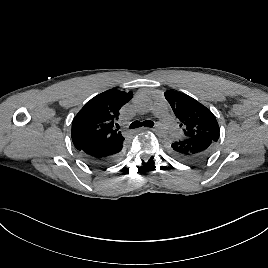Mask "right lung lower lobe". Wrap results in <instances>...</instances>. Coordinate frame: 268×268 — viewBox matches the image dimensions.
Masks as SVG:
<instances>
[{"mask_svg":"<svg viewBox=\"0 0 268 268\" xmlns=\"http://www.w3.org/2000/svg\"><path fill=\"white\" fill-rule=\"evenodd\" d=\"M123 141L124 139L114 144L87 146L78 150L88 162L96 165H107L120 157Z\"/></svg>","mask_w":268,"mask_h":268,"instance_id":"right-lung-lower-lobe-1","label":"right lung lower lobe"}]
</instances>
